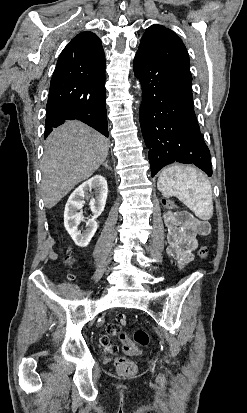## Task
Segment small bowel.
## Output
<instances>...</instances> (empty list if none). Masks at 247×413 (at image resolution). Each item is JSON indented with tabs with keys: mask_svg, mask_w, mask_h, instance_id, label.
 I'll list each match as a JSON object with an SVG mask.
<instances>
[{
	"mask_svg": "<svg viewBox=\"0 0 247 413\" xmlns=\"http://www.w3.org/2000/svg\"><path fill=\"white\" fill-rule=\"evenodd\" d=\"M176 215L173 212H166L164 221L168 230V254L177 261L178 268L183 270L193 259L192 252L198 246V236H206L210 232L209 224L206 221L196 218L191 221L178 225L176 223ZM126 315H117L115 322H107L105 329L107 334L100 336L101 347L110 349L111 354H116L119 349L112 347L111 337L114 336V331L121 329V324L124 322Z\"/></svg>",
	"mask_w": 247,
	"mask_h": 413,
	"instance_id": "c3829d8e",
	"label": "small bowel"
}]
</instances>
